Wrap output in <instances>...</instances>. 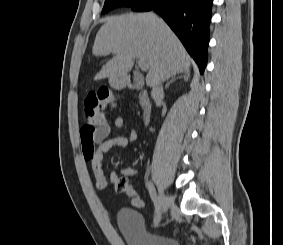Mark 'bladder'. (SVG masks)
<instances>
[{
	"mask_svg": "<svg viewBox=\"0 0 283 245\" xmlns=\"http://www.w3.org/2000/svg\"><path fill=\"white\" fill-rule=\"evenodd\" d=\"M117 222L128 245H181L171 235L149 231L141 213L133 208H121L117 213Z\"/></svg>",
	"mask_w": 283,
	"mask_h": 245,
	"instance_id": "1",
	"label": "bladder"
}]
</instances>
